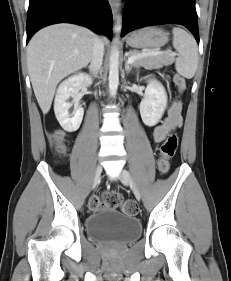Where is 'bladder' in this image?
<instances>
[{
  "label": "bladder",
  "instance_id": "obj_1",
  "mask_svg": "<svg viewBox=\"0 0 231 281\" xmlns=\"http://www.w3.org/2000/svg\"><path fill=\"white\" fill-rule=\"evenodd\" d=\"M87 235L97 241L127 243L141 233L140 221L109 207L93 211L85 221Z\"/></svg>",
  "mask_w": 231,
  "mask_h": 281
}]
</instances>
